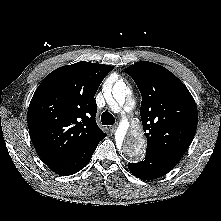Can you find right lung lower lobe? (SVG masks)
Listing matches in <instances>:
<instances>
[{"label": "right lung lower lobe", "instance_id": "1", "mask_svg": "<svg viewBox=\"0 0 221 221\" xmlns=\"http://www.w3.org/2000/svg\"><path fill=\"white\" fill-rule=\"evenodd\" d=\"M102 139L103 138L91 142L68 157L49 165V168L63 176L77 173L90 161L98 143Z\"/></svg>", "mask_w": 221, "mask_h": 221}]
</instances>
